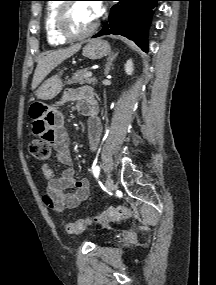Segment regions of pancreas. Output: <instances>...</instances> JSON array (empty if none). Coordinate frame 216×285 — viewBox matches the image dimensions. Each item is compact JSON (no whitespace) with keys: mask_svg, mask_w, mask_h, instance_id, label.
<instances>
[{"mask_svg":"<svg viewBox=\"0 0 216 285\" xmlns=\"http://www.w3.org/2000/svg\"><path fill=\"white\" fill-rule=\"evenodd\" d=\"M86 70L78 71L74 73L71 79L67 80V84H95L97 80L94 77H85Z\"/></svg>","mask_w":216,"mask_h":285,"instance_id":"pancreas-1","label":"pancreas"}]
</instances>
